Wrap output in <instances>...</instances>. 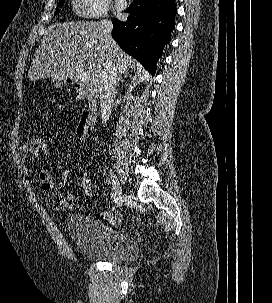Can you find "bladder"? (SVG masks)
<instances>
[{
  "mask_svg": "<svg viewBox=\"0 0 272 303\" xmlns=\"http://www.w3.org/2000/svg\"><path fill=\"white\" fill-rule=\"evenodd\" d=\"M79 252L91 260L127 263L139 254L135 239L90 214L74 213L67 224Z\"/></svg>",
  "mask_w": 272,
  "mask_h": 303,
  "instance_id": "bladder-1",
  "label": "bladder"
}]
</instances>
